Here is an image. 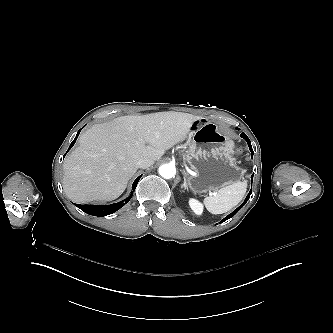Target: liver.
Here are the masks:
<instances>
[{"label": "liver", "instance_id": "obj_1", "mask_svg": "<svg viewBox=\"0 0 333 333\" xmlns=\"http://www.w3.org/2000/svg\"><path fill=\"white\" fill-rule=\"evenodd\" d=\"M201 117L182 112L121 116L81 134L64 161L63 189L75 203L111 201L126 189L140 158L159 160Z\"/></svg>", "mask_w": 333, "mask_h": 333}]
</instances>
